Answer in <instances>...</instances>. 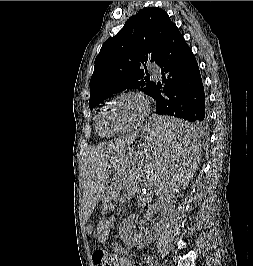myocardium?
<instances>
[{"mask_svg":"<svg viewBox=\"0 0 253 266\" xmlns=\"http://www.w3.org/2000/svg\"><path fill=\"white\" fill-rule=\"evenodd\" d=\"M126 97H131V98L137 99L142 104L141 114L138 116V118L132 124H130L127 128H125L121 131L115 132L113 134L102 133L100 130V126H99V121H100V116H101L103 110L107 106H109L110 104L114 103L115 101L122 99V98H126ZM150 110H151L150 101L148 100V98L144 94L137 92V91L121 92V93L117 94L116 96H114L113 98H111L109 101H107L98 111L97 116H96V121H95L96 131L101 137H105V138L116 137V136L128 133V132L134 130L135 128L139 127L147 119V117L150 114Z\"/></svg>","mask_w":253,"mask_h":266,"instance_id":"1","label":"myocardium"}]
</instances>
